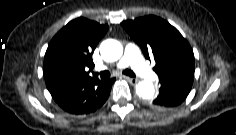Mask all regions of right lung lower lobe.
<instances>
[{
  "label": "right lung lower lobe",
  "mask_w": 236,
  "mask_h": 135,
  "mask_svg": "<svg viewBox=\"0 0 236 135\" xmlns=\"http://www.w3.org/2000/svg\"><path fill=\"white\" fill-rule=\"evenodd\" d=\"M115 78H78L66 74L46 80V86L56 103L73 115L89 114L106 102Z\"/></svg>",
  "instance_id": "1"
}]
</instances>
